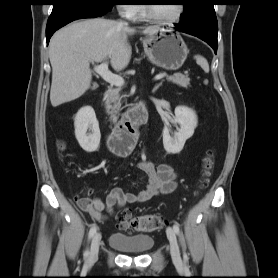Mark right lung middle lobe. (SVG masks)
<instances>
[{
    "instance_id": "1",
    "label": "right lung middle lobe",
    "mask_w": 278,
    "mask_h": 278,
    "mask_svg": "<svg viewBox=\"0 0 278 278\" xmlns=\"http://www.w3.org/2000/svg\"><path fill=\"white\" fill-rule=\"evenodd\" d=\"M52 4V12L64 5L70 4L86 5L102 10H110L114 5V0H52Z\"/></svg>"
}]
</instances>
